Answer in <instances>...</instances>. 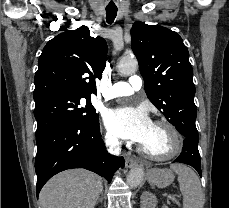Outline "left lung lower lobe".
I'll return each mask as SVG.
<instances>
[{"instance_id":"1","label":"left lung lower lobe","mask_w":229,"mask_h":208,"mask_svg":"<svg viewBox=\"0 0 229 208\" xmlns=\"http://www.w3.org/2000/svg\"><path fill=\"white\" fill-rule=\"evenodd\" d=\"M184 134L185 139L183 141L182 152L174 162L188 164L194 167L199 175L202 176L200 154L198 151V132L195 129H187Z\"/></svg>"}]
</instances>
